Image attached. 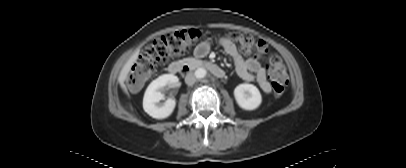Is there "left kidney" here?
I'll return each instance as SVG.
<instances>
[{"label": "left kidney", "instance_id": "1", "mask_svg": "<svg viewBox=\"0 0 406 168\" xmlns=\"http://www.w3.org/2000/svg\"><path fill=\"white\" fill-rule=\"evenodd\" d=\"M234 97L237 104L244 110H255L262 102L258 88L248 83L236 86L234 89Z\"/></svg>", "mask_w": 406, "mask_h": 168}]
</instances>
